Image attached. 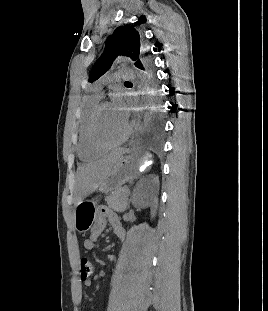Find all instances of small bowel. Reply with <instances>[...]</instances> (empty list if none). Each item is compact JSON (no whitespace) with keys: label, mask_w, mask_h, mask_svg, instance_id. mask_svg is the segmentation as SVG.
<instances>
[{"label":"small bowel","mask_w":268,"mask_h":311,"mask_svg":"<svg viewBox=\"0 0 268 311\" xmlns=\"http://www.w3.org/2000/svg\"><path fill=\"white\" fill-rule=\"evenodd\" d=\"M110 224L114 230V233L120 240H124L126 236L125 229L121 225L118 217L115 213L109 211L108 209H102L99 213L97 220L94 226L91 229L90 235L84 240V247L88 250L94 247V244L97 242L99 237L101 236L103 230L105 229L107 224ZM110 260H114V256L109 255ZM82 283L85 286H90L92 284L91 278L82 279Z\"/></svg>","instance_id":"c3829d8e"}]
</instances>
